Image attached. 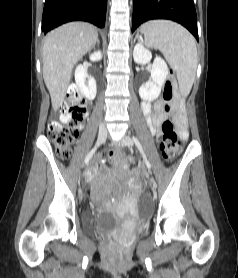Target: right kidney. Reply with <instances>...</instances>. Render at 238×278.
<instances>
[{"label": "right kidney", "instance_id": "obj_1", "mask_svg": "<svg viewBox=\"0 0 238 278\" xmlns=\"http://www.w3.org/2000/svg\"><path fill=\"white\" fill-rule=\"evenodd\" d=\"M102 59L100 51L94 52L90 55L92 62H97ZM88 82L86 83V79ZM75 82L81 93L89 100H93L97 93L96 81L93 77H89L84 66L78 65L75 69Z\"/></svg>", "mask_w": 238, "mask_h": 278}]
</instances>
